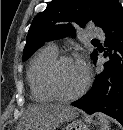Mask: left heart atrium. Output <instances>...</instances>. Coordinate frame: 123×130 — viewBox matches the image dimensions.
<instances>
[{"instance_id": "39dd6f15", "label": "left heart atrium", "mask_w": 123, "mask_h": 130, "mask_svg": "<svg viewBox=\"0 0 123 130\" xmlns=\"http://www.w3.org/2000/svg\"><path fill=\"white\" fill-rule=\"evenodd\" d=\"M76 64L78 65V67L83 71V72H86L85 70V65H84V62L82 60H77L75 61Z\"/></svg>"}]
</instances>
